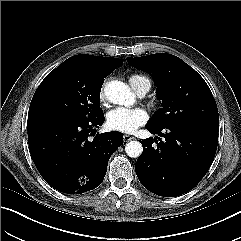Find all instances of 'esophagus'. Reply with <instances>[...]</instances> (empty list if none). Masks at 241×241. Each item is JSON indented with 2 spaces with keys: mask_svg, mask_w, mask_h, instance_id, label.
I'll return each instance as SVG.
<instances>
[{
  "mask_svg": "<svg viewBox=\"0 0 241 241\" xmlns=\"http://www.w3.org/2000/svg\"><path fill=\"white\" fill-rule=\"evenodd\" d=\"M135 139V137H133V136H130V135H123V140L125 141V142H128V141H131V140H134Z\"/></svg>",
  "mask_w": 241,
  "mask_h": 241,
  "instance_id": "obj_1",
  "label": "esophagus"
}]
</instances>
